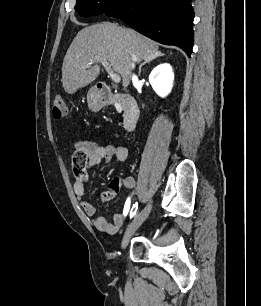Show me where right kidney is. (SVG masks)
I'll return each instance as SVG.
<instances>
[{
	"instance_id": "right-kidney-1",
	"label": "right kidney",
	"mask_w": 261,
	"mask_h": 306,
	"mask_svg": "<svg viewBox=\"0 0 261 306\" xmlns=\"http://www.w3.org/2000/svg\"><path fill=\"white\" fill-rule=\"evenodd\" d=\"M174 73L172 67L167 64H160L155 67L149 75V82L153 90L160 96H167L173 86Z\"/></svg>"
}]
</instances>
